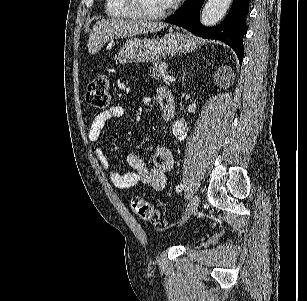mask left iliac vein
Listing matches in <instances>:
<instances>
[{
    "instance_id": "obj_1",
    "label": "left iliac vein",
    "mask_w": 307,
    "mask_h": 301,
    "mask_svg": "<svg viewBox=\"0 0 307 301\" xmlns=\"http://www.w3.org/2000/svg\"><path fill=\"white\" fill-rule=\"evenodd\" d=\"M199 203H200L199 197L197 195L193 196L188 204V207L186 209L184 216L182 217L180 221L181 224L185 223L188 220V218L195 213V211L197 210L199 206Z\"/></svg>"
}]
</instances>
